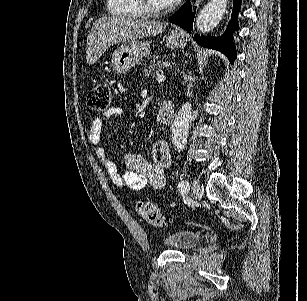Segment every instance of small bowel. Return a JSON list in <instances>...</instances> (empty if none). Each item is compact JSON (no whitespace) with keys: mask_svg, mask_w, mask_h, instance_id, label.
Here are the masks:
<instances>
[{"mask_svg":"<svg viewBox=\"0 0 307 301\" xmlns=\"http://www.w3.org/2000/svg\"><path fill=\"white\" fill-rule=\"evenodd\" d=\"M121 114V108L112 107L102 117L94 118L88 131L90 143L96 145L100 142L105 119L116 118ZM95 153L110 179L118 187L137 191L148 185L155 190H160L166 184L165 171L171 162L170 151L166 142L160 141L154 145L152 162L137 153H127L124 161L128 170L125 172L118 170L103 147H97Z\"/></svg>","mask_w":307,"mask_h":301,"instance_id":"obj_1","label":"small bowel"}]
</instances>
